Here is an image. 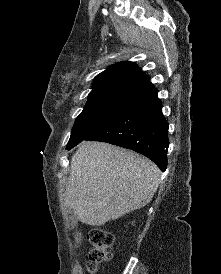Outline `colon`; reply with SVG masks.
I'll return each mask as SVG.
<instances>
[{"label":"colon","mask_w":221,"mask_h":274,"mask_svg":"<svg viewBox=\"0 0 221 274\" xmlns=\"http://www.w3.org/2000/svg\"><path fill=\"white\" fill-rule=\"evenodd\" d=\"M88 240L92 245L89 252V270L93 272L98 265L111 257L109 249L113 245V235L103 228L96 227L89 231Z\"/></svg>","instance_id":"obj_1"}]
</instances>
